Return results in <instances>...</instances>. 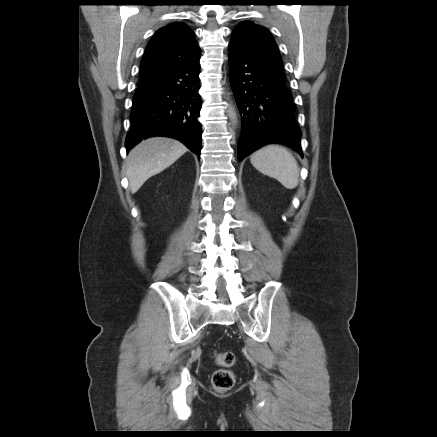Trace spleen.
I'll return each instance as SVG.
<instances>
[{
	"label": "spleen",
	"mask_w": 437,
	"mask_h": 437,
	"mask_svg": "<svg viewBox=\"0 0 437 437\" xmlns=\"http://www.w3.org/2000/svg\"><path fill=\"white\" fill-rule=\"evenodd\" d=\"M250 162L258 171L275 178L285 188L298 186V163L288 149L279 145L264 146L250 156Z\"/></svg>",
	"instance_id": "spleen-1"
}]
</instances>
